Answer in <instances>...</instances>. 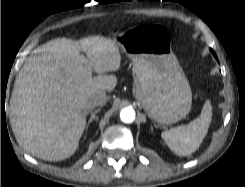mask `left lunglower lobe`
<instances>
[{
	"label": "left lung lower lobe",
	"mask_w": 245,
	"mask_h": 187,
	"mask_svg": "<svg viewBox=\"0 0 245 187\" xmlns=\"http://www.w3.org/2000/svg\"><path fill=\"white\" fill-rule=\"evenodd\" d=\"M210 51L212 52V54L215 56V58L217 59V56H216V54H215V52L212 50V49H210Z\"/></svg>",
	"instance_id": "1"
}]
</instances>
